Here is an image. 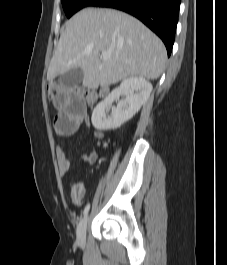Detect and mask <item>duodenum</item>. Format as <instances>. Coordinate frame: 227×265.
I'll return each mask as SVG.
<instances>
[{
	"label": "duodenum",
	"mask_w": 227,
	"mask_h": 265,
	"mask_svg": "<svg viewBox=\"0 0 227 265\" xmlns=\"http://www.w3.org/2000/svg\"><path fill=\"white\" fill-rule=\"evenodd\" d=\"M107 91H108V87H107V86H103V87L100 89L99 94H100L101 96H103V95H105V94L107 93Z\"/></svg>",
	"instance_id": "duodenum-1"
}]
</instances>
